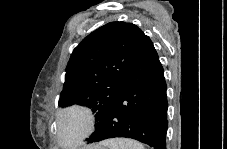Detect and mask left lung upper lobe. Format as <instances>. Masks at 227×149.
<instances>
[{
	"mask_svg": "<svg viewBox=\"0 0 227 149\" xmlns=\"http://www.w3.org/2000/svg\"><path fill=\"white\" fill-rule=\"evenodd\" d=\"M143 37L132 23L110 22L84 38L66 67L59 106L91 108L97 126L118 96Z\"/></svg>",
	"mask_w": 227,
	"mask_h": 149,
	"instance_id": "1",
	"label": "left lung upper lobe"
}]
</instances>
